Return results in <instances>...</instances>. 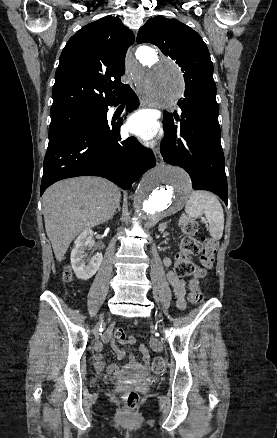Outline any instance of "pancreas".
I'll list each match as a JSON object with an SVG mask.
<instances>
[{
	"label": "pancreas",
	"instance_id": "1",
	"mask_svg": "<svg viewBox=\"0 0 277 438\" xmlns=\"http://www.w3.org/2000/svg\"><path fill=\"white\" fill-rule=\"evenodd\" d=\"M181 222L182 223H191L192 222V215L191 214H182L181 215Z\"/></svg>",
	"mask_w": 277,
	"mask_h": 438
}]
</instances>
